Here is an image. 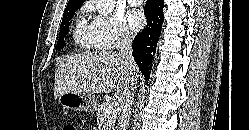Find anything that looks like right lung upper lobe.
I'll list each match as a JSON object with an SVG mask.
<instances>
[{
	"label": "right lung upper lobe",
	"instance_id": "cb5924a9",
	"mask_svg": "<svg viewBox=\"0 0 249 130\" xmlns=\"http://www.w3.org/2000/svg\"><path fill=\"white\" fill-rule=\"evenodd\" d=\"M83 2H84V0H69L68 5H70V4H78V5L81 6L83 4Z\"/></svg>",
	"mask_w": 249,
	"mask_h": 130
}]
</instances>
